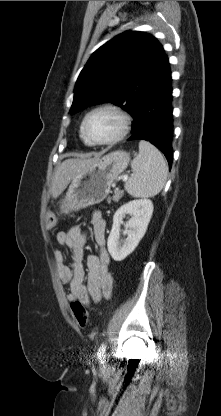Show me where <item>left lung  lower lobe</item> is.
<instances>
[{
    "label": "left lung lower lobe",
    "mask_w": 221,
    "mask_h": 416,
    "mask_svg": "<svg viewBox=\"0 0 221 416\" xmlns=\"http://www.w3.org/2000/svg\"><path fill=\"white\" fill-rule=\"evenodd\" d=\"M171 72L165 55L160 73L138 103L128 139L146 140L165 155L169 168L172 164L173 108Z\"/></svg>",
    "instance_id": "obj_1"
}]
</instances>
